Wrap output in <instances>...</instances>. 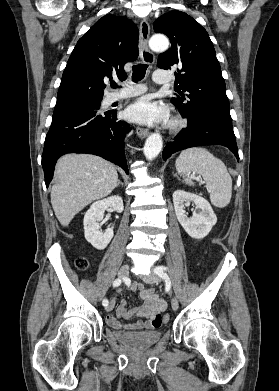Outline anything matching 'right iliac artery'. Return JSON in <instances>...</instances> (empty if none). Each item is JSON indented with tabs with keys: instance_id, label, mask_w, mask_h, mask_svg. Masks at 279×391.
Masks as SVG:
<instances>
[{
	"instance_id": "obj_1",
	"label": "right iliac artery",
	"mask_w": 279,
	"mask_h": 391,
	"mask_svg": "<svg viewBox=\"0 0 279 391\" xmlns=\"http://www.w3.org/2000/svg\"><path fill=\"white\" fill-rule=\"evenodd\" d=\"M121 284V280L118 278V279H116L114 282H113V286L114 287H117V286H119ZM108 300L107 299H104L103 300V302H102V304H103V306H107L108 305Z\"/></svg>"
}]
</instances>
